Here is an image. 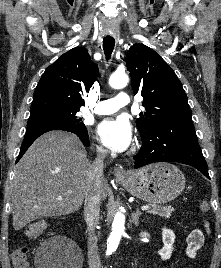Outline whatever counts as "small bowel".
I'll return each mask as SVG.
<instances>
[{"instance_id":"c3829d8e","label":"small bowel","mask_w":221,"mask_h":268,"mask_svg":"<svg viewBox=\"0 0 221 268\" xmlns=\"http://www.w3.org/2000/svg\"><path fill=\"white\" fill-rule=\"evenodd\" d=\"M204 234L200 228L191 231L187 238L186 254L189 258H194L198 250L203 246Z\"/></svg>"}]
</instances>
